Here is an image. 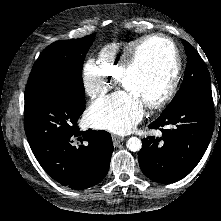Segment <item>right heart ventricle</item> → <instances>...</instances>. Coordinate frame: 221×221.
Listing matches in <instances>:
<instances>
[{"instance_id": "right-heart-ventricle-1", "label": "right heart ventricle", "mask_w": 221, "mask_h": 221, "mask_svg": "<svg viewBox=\"0 0 221 221\" xmlns=\"http://www.w3.org/2000/svg\"><path fill=\"white\" fill-rule=\"evenodd\" d=\"M143 37L113 42L106 45L98 56L101 71L109 78L120 77L132 48Z\"/></svg>"}]
</instances>
